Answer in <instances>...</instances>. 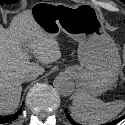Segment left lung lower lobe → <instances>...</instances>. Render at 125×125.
<instances>
[{
  "mask_svg": "<svg viewBox=\"0 0 125 125\" xmlns=\"http://www.w3.org/2000/svg\"><path fill=\"white\" fill-rule=\"evenodd\" d=\"M67 118L69 119V121L73 124V125H80L78 123H76L75 121H73V119L70 117L69 114H67ZM125 118V115H123L122 117H120L119 119H117L116 121H113L112 122V125H114L115 123L123 120ZM106 125H111V123H107Z\"/></svg>",
  "mask_w": 125,
  "mask_h": 125,
  "instance_id": "0a47b994",
  "label": "left lung lower lobe"
}]
</instances>
